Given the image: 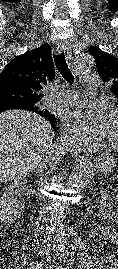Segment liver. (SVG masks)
<instances>
[{
	"label": "liver",
	"instance_id": "liver-1",
	"mask_svg": "<svg viewBox=\"0 0 118 269\" xmlns=\"http://www.w3.org/2000/svg\"><path fill=\"white\" fill-rule=\"evenodd\" d=\"M54 131L42 116L24 110L0 113V182L20 180L54 153Z\"/></svg>",
	"mask_w": 118,
	"mask_h": 269
}]
</instances>
